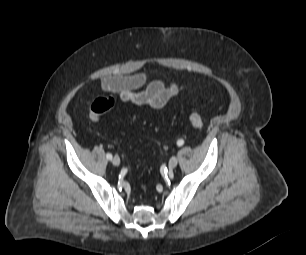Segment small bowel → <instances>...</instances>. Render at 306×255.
Returning <instances> with one entry per match:
<instances>
[{"label": "small bowel", "instance_id": "c3829d8e", "mask_svg": "<svg viewBox=\"0 0 306 255\" xmlns=\"http://www.w3.org/2000/svg\"><path fill=\"white\" fill-rule=\"evenodd\" d=\"M145 85V89L138 91ZM100 90L104 93H117L123 103L160 109L177 96L183 87L173 82L166 84L162 80L147 83L146 74L140 72L129 76L104 77L100 81Z\"/></svg>", "mask_w": 306, "mask_h": 255}]
</instances>
